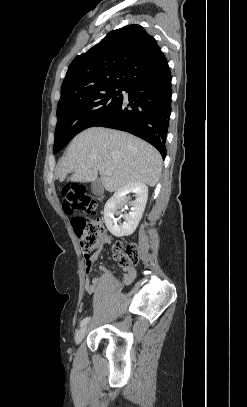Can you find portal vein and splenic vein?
Here are the masks:
<instances>
[{
  "instance_id": "18ae733b",
  "label": "portal vein and splenic vein",
  "mask_w": 247,
  "mask_h": 407,
  "mask_svg": "<svg viewBox=\"0 0 247 407\" xmlns=\"http://www.w3.org/2000/svg\"><path fill=\"white\" fill-rule=\"evenodd\" d=\"M100 172H103V169H102V168H100Z\"/></svg>"
}]
</instances>
